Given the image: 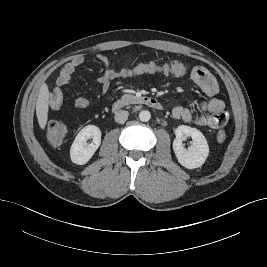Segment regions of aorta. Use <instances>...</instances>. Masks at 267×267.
Wrapping results in <instances>:
<instances>
[{
	"label": "aorta",
	"mask_w": 267,
	"mask_h": 267,
	"mask_svg": "<svg viewBox=\"0 0 267 267\" xmlns=\"http://www.w3.org/2000/svg\"><path fill=\"white\" fill-rule=\"evenodd\" d=\"M151 118V114L149 111L147 110H143L139 113V119L143 122H147L149 121Z\"/></svg>",
	"instance_id": "762f6f07"
}]
</instances>
